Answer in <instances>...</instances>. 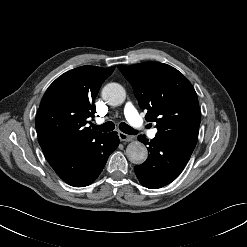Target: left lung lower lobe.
I'll list each match as a JSON object with an SVG mask.
<instances>
[{"mask_svg": "<svg viewBox=\"0 0 247 247\" xmlns=\"http://www.w3.org/2000/svg\"><path fill=\"white\" fill-rule=\"evenodd\" d=\"M138 139L148 145L149 155L147 160L135 166L134 170L141 184L150 189L171 183L184 169L196 145L183 138L155 136L149 142L141 135Z\"/></svg>", "mask_w": 247, "mask_h": 247, "instance_id": "obj_1", "label": "left lung lower lobe"}]
</instances>
